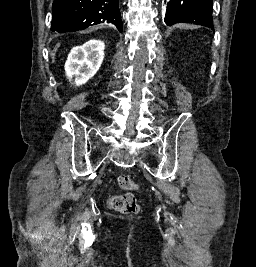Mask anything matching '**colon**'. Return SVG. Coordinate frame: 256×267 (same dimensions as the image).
Wrapping results in <instances>:
<instances>
[{"label":"colon","instance_id":"1","mask_svg":"<svg viewBox=\"0 0 256 267\" xmlns=\"http://www.w3.org/2000/svg\"><path fill=\"white\" fill-rule=\"evenodd\" d=\"M117 183L122 189H135V184L129 175L122 174L117 178ZM132 193L119 194V196L111 195L108 200V206L112 211L120 214H134L139 207Z\"/></svg>","mask_w":256,"mask_h":267}]
</instances>
